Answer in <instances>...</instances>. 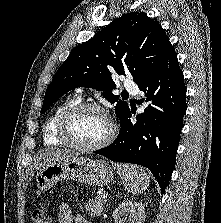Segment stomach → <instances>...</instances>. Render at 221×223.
<instances>
[{
	"label": "stomach",
	"instance_id": "stomach-1",
	"mask_svg": "<svg viewBox=\"0 0 221 223\" xmlns=\"http://www.w3.org/2000/svg\"><path fill=\"white\" fill-rule=\"evenodd\" d=\"M113 169L103 160L72 156L42 165L37 172V187L41 192L62 180H73L93 186H104L113 180Z\"/></svg>",
	"mask_w": 221,
	"mask_h": 223
}]
</instances>
